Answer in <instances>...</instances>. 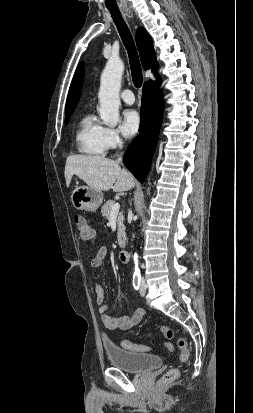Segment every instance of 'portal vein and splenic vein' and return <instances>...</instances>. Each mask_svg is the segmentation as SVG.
I'll return each mask as SVG.
<instances>
[{
	"mask_svg": "<svg viewBox=\"0 0 253 413\" xmlns=\"http://www.w3.org/2000/svg\"><path fill=\"white\" fill-rule=\"evenodd\" d=\"M120 209V204L119 203H115L112 208H111V216L112 215H117Z\"/></svg>",
	"mask_w": 253,
	"mask_h": 413,
	"instance_id": "obj_1",
	"label": "portal vein and splenic vein"
}]
</instances>
